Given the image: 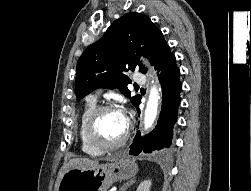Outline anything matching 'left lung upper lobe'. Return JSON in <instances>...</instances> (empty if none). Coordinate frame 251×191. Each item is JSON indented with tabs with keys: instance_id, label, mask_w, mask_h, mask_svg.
<instances>
[{
	"instance_id": "5c2ea615",
	"label": "left lung upper lobe",
	"mask_w": 251,
	"mask_h": 191,
	"mask_svg": "<svg viewBox=\"0 0 251 191\" xmlns=\"http://www.w3.org/2000/svg\"><path fill=\"white\" fill-rule=\"evenodd\" d=\"M170 49L163 34L145 15L131 12L116 20L102 38L90 45L77 63L76 97L82 99L91 91L118 88L135 105L141 96L130 97L127 85L131 80L125 71L145 67L135 55H143L156 66L160 57Z\"/></svg>"
}]
</instances>
